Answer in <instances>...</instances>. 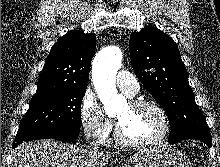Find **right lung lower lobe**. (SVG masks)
<instances>
[{"label": "right lung lower lobe", "mask_w": 220, "mask_h": 167, "mask_svg": "<svg viewBox=\"0 0 220 167\" xmlns=\"http://www.w3.org/2000/svg\"><path fill=\"white\" fill-rule=\"evenodd\" d=\"M79 131L80 130L62 132V133H57V134H42V135H39L37 137L31 138V139L26 140V141L52 138V139H56V140H60V141L69 142V141H73V140L77 139V137L79 135ZM22 142H24V141L15 142L13 147H16L17 145L21 144Z\"/></svg>", "instance_id": "obj_1"}]
</instances>
